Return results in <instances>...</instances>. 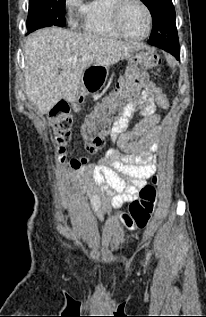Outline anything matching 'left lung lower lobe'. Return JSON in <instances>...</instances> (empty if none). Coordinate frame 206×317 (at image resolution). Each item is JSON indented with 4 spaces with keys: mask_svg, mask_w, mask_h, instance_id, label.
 <instances>
[{
    "mask_svg": "<svg viewBox=\"0 0 206 317\" xmlns=\"http://www.w3.org/2000/svg\"><path fill=\"white\" fill-rule=\"evenodd\" d=\"M157 47L171 53L177 59L179 58V45L168 43V44H159V45H157Z\"/></svg>",
    "mask_w": 206,
    "mask_h": 317,
    "instance_id": "1",
    "label": "left lung lower lobe"
}]
</instances>
